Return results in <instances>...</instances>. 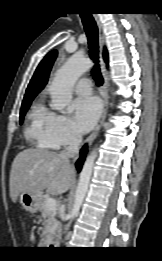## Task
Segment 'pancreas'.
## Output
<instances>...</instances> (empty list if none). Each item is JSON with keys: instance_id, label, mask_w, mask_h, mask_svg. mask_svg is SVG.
Listing matches in <instances>:
<instances>
[{"instance_id": "obj_1", "label": "pancreas", "mask_w": 162, "mask_h": 261, "mask_svg": "<svg viewBox=\"0 0 162 261\" xmlns=\"http://www.w3.org/2000/svg\"><path fill=\"white\" fill-rule=\"evenodd\" d=\"M47 198H41L39 211L44 219L43 231L41 235L42 244H50L59 229V222L56 219V211H50L46 208Z\"/></svg>"}]
</instances>
